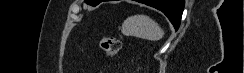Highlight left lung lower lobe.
Returning <instances> with one entry per match:
<instances>
[{
  "mask_svg": "<svg viewBox=\"0 0 244 73\" xmlns=\"http://www.w3.org/2000/svg\"><path fill=\"white\" fill-rule=\"evenodd\" d=\"M162 11L177 30L184 9V0H136ZM102 2V1H101Z\"/></svg>",
  "mask_w": 244,
  "mask_h": 73,
  "instance_id": "0a47b994",
  "label": "left lung lower lobe"
}]
</instances>
